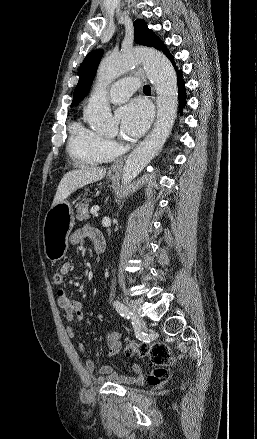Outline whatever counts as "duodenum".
Returning <instances> with one entry per match:
<instances>
[{"instance_id":"1","label":"duodenum","mask_w":257,"mask_h":439,"mask_svg":"<svg viewBox=\"0 0 257 439\" xmlns=\"http://www.w3.org/2000/svg\"><path fill=\"white\" fill-rule=\"evenodd\" d=\"M94 250L98 255L102 254L105 250V242L101 239L97 240L94 243Z\"/></svg>"}]
</instances>
